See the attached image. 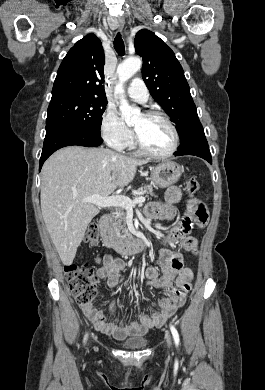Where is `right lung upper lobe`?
Listing matches in <instances>:
<instances>
[{
    "instance_id": "cb5924a9",
    "label": "right lung upper lobe",
    "mask_w": 265,
    "mask_h": 390,
    "mask_svg": "<svg viewBox=\"0 0 265 390\" xmlns=\"http://www.w3.org/2000/svg\"><path fill=\"white\" fill-rule=\"evenodd\" d=\"M104 64L100 39L95 34H88L64 57L53 85L51 100L70 96L106 99L102 85Z\"/></svg>"
}]
</instances>
